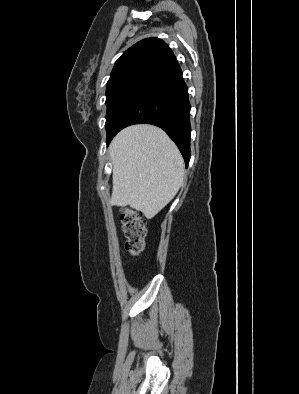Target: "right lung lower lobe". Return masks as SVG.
<instances>
[{
  "label": "right lung lower lobe",
  "mask_w": 299,
  "mask_h": 394,
  "mask_svg": "<svg viewBox=\"0 0 299 394\" xmlns=\"http://www.w3.org/2000/svg\"><path fill=\"white\" fill-rule=\"evenodd\" d=\"M139 123L162 128L176 143L188 166L191 157L190 103L180 67L147 88L128 107L107 137V145L120 130Z\"/></svg>",
  "instance_id": "obj_1"
}]
</instances>
